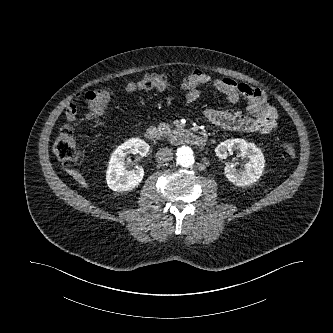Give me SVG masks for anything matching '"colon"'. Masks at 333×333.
<instances>
[{"mask_svg": "<svg viewBox=\"0 0 333 333\" xmlns=\"http://www.w3.org/2000/svg\"><path fill=\"white\" fill-rule=\"evenodd\" d=\"M171 87V83L167 77L159 74H148L141 79L129 84V89L164 90ZM109 98V92L104 89H97L85 94V101L88 105V119H93L102 115L105 111L106 101ZM52 152L58 159L63 169H69L71 166L80 163L83 154L76 147L72 126L65 125L57 133L52 145ZM297 154L296 148L289 143L283 145L282 156L284 158H295Z\"/></svg>", "mask_w": 333, "mask_h": 333, "instance_id": "obj_1", "label": "colon"}]
</instances>
